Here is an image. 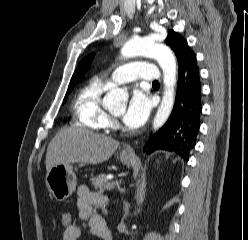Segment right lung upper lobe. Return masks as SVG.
Masks as SVG:
<instances>
[{"label":"right lung upper lobe","mask_w":248,"mask_h":240,"mask_svg":"<svg viewBox=\"0 0 248 240\" xmlns=\"http://www.w3.org/2000/svg\"><path fill=\"white\" fill-rule=\"evenodd\" d=\"M94 58V54H90L88 56H86L79 64V66L77 67L75 73L72 76V79L70 82H79L84 74L86 73V71L88 70L92 60Z\"/></svg>","instance_id":"right-lung-upper-lobe-1"}]
</instances>
